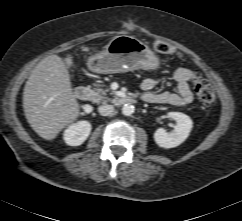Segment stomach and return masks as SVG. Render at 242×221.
<instances>
[{
	"mask_svg": "<svg viewBox=\"0 0 242 221\" xmlns=\"http://www.w3.org/2000/svg\"><path fill=\"white\" fill-rule=\"evenodd\" d=\"M87 66L99 74L137 69L155 71L160 68V60L145 43L133 36L121 35L113 38L103 51L90 56Z\"/></svg>",
	"mask_w": 242,
	"mask_h": 221,
	"instance_id": "obj_1",
	"label": "stomach"
}]
</instances>
